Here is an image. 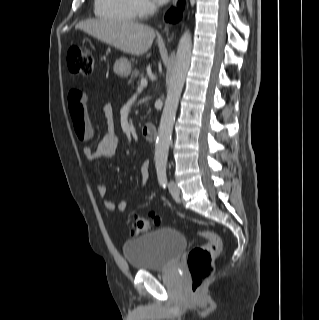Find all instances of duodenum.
Listing matches in <instances>:
<instances>
[{"label":"duodenum","mask_w":319,"mask_h":320,"mask_svg":"<svg viewBox=\"0 0 319 320\" xmlns=\"http://www.w3.org/2000/svg\"><path fill=\"white\" fill-rule=\"evenodd\" d=\"M141 133L143 137L150 142L155 141L158 135L157 127L153 123L144 124Z\"/></svg>","instance_id":"obj_1"}]
</instances>
